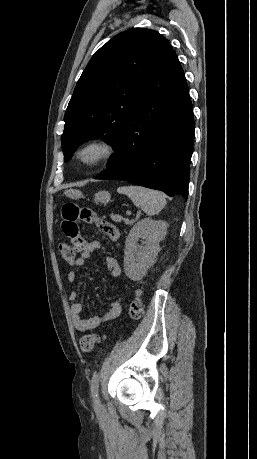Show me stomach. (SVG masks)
Wrapping results in <instances>:
<instances>
[{"instance_id":"obj_1","label":"stomach","mask_w":257,"mask_h":459,"mask_svg":"<svg viewBox=\"0 0 257 459\" xmlns=\"http://www.w3.org/2000/svg\"><path fill=\"white\" fill-rule=\"evenodd\" d=\"M66 194L72 198H81L83 195L79 190H69ZM111 196L108 191H99L94 195L95 202L107 203L110 200Z\"/></svg>"}]
</instances>
